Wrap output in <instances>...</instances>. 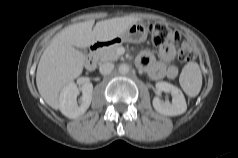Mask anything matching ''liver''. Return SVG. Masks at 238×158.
Here are the masks:
<instances>
[{"label":"liver","instance_id":"liver-1","mask_svg":"<svg viewBox=\"0 0 238 158\" xmlns=\"http://www.w3.org/2000/svg\"><path fill=\"white\" fill-rule=\"evenodd\" d=\"M138 20L136 17L112 18L99 21L95 26L94 20H89L70 25L56 34L44 50L36 73L37 88L45 102L53 109H60L61 90L84 68L85 55L79 48L97 41H110Z\"/></svg>","mask_w":238,"mask_h":158}]
</instances>
